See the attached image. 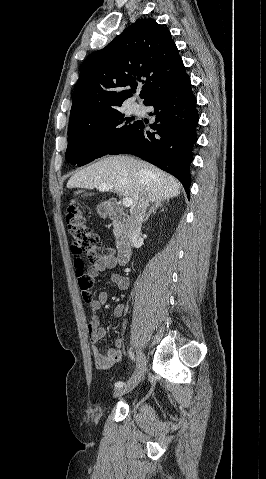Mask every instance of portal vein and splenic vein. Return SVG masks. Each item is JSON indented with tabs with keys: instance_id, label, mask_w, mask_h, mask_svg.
I'll return each instance as SVG.
<instances>
[{
	"instance_id": "1",
	"label": "portal vein and splenic vein",
	"mask_w": 266,
	"mask_h": 479,
	"mask_svg": "<svg viewBox=\"0 0 266 479\" xmlns=\"http://www.w3.org/2000/svg\"><path fill=\"white\" fill-rule=\"evenodd\" d=\"M97 189L99 191L106 192V191L111 190V187L104 184V185L98 186ZM122 204H123L124 207H130V206L133 205V199L129 198V197H125V198L122 199Z\"/></svg>"
}]
</instances>
